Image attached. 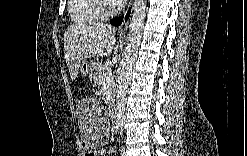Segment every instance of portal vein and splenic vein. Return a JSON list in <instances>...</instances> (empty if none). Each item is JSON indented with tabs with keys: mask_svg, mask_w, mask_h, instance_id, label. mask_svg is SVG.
Wrapping results in <instances>:
<instances>
[{
	"mask_svg": "<svg viewBox=\"0 0 247 156\" xmlns=\"http://www.w3.org/2000/svg\"><path fill=\"white\" fill-rule=\"evenodd\" d=\"M111 77H112V72L111 70H109L105 73V81H108Z\"/></svg>",
	"mask_w": 247,
	"mask_h": 156,
	"instance_id": "18ae733b",
	"label": "portal vein and splenic vein"
}]
</instances>
